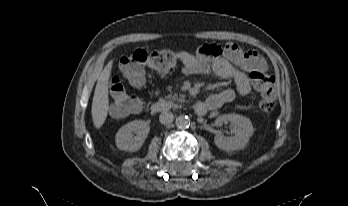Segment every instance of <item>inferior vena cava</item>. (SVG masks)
I'll return each instance as SVG.
<instances>
[{"label": "inferior vena cava", "mask_w": 348, "mask_h": 206, "mask_svg": "<svg viewBox=\"0 0 348 206\" xmlns=\"http://www.w3.org/2000/svg\"><path fill=\"white\" fill-rule=\"evenodd\" d=\"M174 119L172 112L163 111L159 116V121L161 124L167 125L170 124Z\"/></svg>", "instance_id": "602c4592"}]
</instances>
